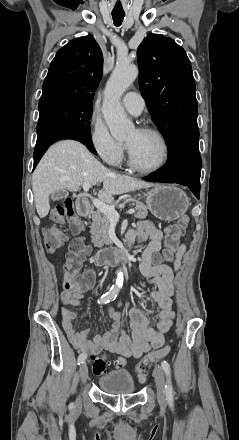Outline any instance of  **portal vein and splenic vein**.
<instances>
[{
    "label": "portal vein and splenic vein",
    "instance_id": "obj_1",
    "mask_svg": "<svg viewBox=\"0 0 239 440\" xmlns=\"http://www.w3.org/2000/svg\"><path fill=\"white\" fill-rule=\"evenodd\" d=\"M89 188H91V184L89 182H86V184H83V190L84 192H88ZM93 204L97 210H100L102 214H105L107 218H109L110 222H118L120 216L118 212H116L114 206H108V204H104V202H100V200H93ZM128 214H134L133 209H128Z\"/></svg>",
    "mask_w": 239,
    "mask_h": 440
}]
</instances>
